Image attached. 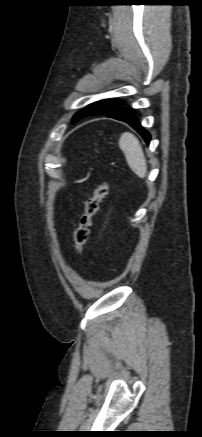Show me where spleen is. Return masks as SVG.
I'll return each mask as SVG.
<instances>
[{
    "mask_svg": "<svg viewBox=\"0 0 202 437\" xmlns=\"http://www.w3.org/2000/svg\"><path fill=\"white\" fill-rule=\"evenodd\" d=\"M119 147L131 170L144 178L147 174V162L139 140L132 133L124 132L119 139Z\"/></svg>",
    "mask_w": 202,
    "mask_h": 437,
    "instance_id": "3e777b00",
    "label": "spleen"
}]
</instances>
